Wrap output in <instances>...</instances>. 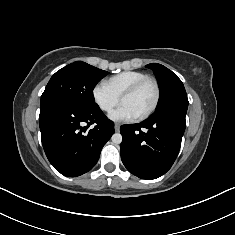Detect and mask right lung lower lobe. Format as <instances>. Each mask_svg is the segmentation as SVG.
Here are the masks:
<instances>
[{
    "label": "right lung lower lobe",
    "instance_id": "98d812e1",
    "mask_svg": "<svg viewBox=\"0 0 235 235\" xmlns=\"http://www.w3.org/2000/svg\"><path fill=\"white\" fill-rule=\"evenodd\" d=\"M39 127L48 160L68 177L91 170L114 133V123L98 105L88 109L63 104L41 106Z\"/></svg>",
    "mask_w": 235,
    "mask_h": 235
}]
</instances>
